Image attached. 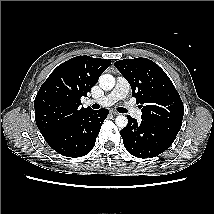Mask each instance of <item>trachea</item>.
Returning a JSON list of instances; mask_svg holds the SVG:
<instances>
[{
	"mask_svg": "<svg viewBox=\"0 0 214 214\" xmlns=\"http://www.w3.org/2000/svg\"><path fill=\"white\" fill-rule=\"evenodd\" d=\"M93 108H94V109H98V108H99V105H98V104H94V105H93ZM117 110H118V112H120V113H126V112H127V110H126L125 108H123V107H119Z\"/></svg>",
	"mask_w": 214,
	"mask_h": 214,
	"instance_id": "trachea-1",
	"label": "trachea"
}]
</instances>
